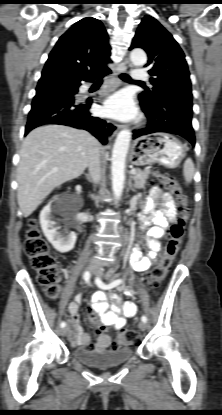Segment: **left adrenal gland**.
<instances>
[{
	"label": "left adrenal gland",
	"instance_id": "a2214340",
	"mask_svg": "<svg viewBox=\"0 0 222 415\" xmlns=\"http://www.w3.org/2000/svg\"><path fill=\"white\" fill-rule=\"evenodd\" d=\"M132 179H133V176H132V175H130V176H129V180H128V185H129V188H130L132 191H135V189L133 188V185H132Z\"/></svg>",
	"mask_w": 222,
	"mask_h": 415
}]
</instances>
